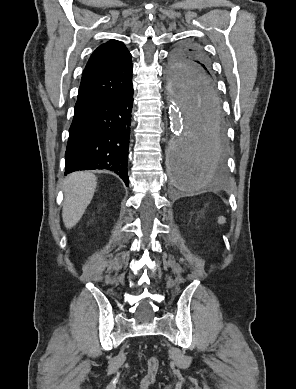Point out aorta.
Instances as JSON below:
<instances>
[{"instance_id": "obj_1", "label": "aorta", "mask_w": 296, "mask_h": 389, "mask_svg": "<svg viewBox=\"0 0 296 389\" xmlns=\"http://www.w3.org/2000/svg\"><path fill=\"white\" fill-rule=\"evenodd\" d=\"M172 138L167 145L171 189H205L220 162L217 130L218 91L204 72L193 67H166Z\"/></svg>"}]
</instances>
